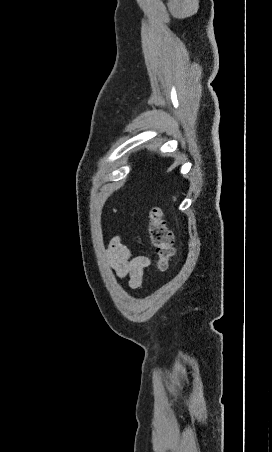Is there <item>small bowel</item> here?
<instances>
[{
  "label": "small bowel",
  "mask_w": 272,
  "mask_h": 452,
  "mask_svg": "<svg viewBox=\"0 0 272 452\" xmlns=\"http://www.w3.org/2000/svg\"><path fill=\"white\" fill-rule=\"evenodd\" d=\"M107 264L119 279L128 278V285L132 289L140 288L143 280L144 269L150 264L145 255L131 256L129 248L120 237L110 239L105 252Z\"/></svg>",
  "instance_id": "1"
}]
</instances>
